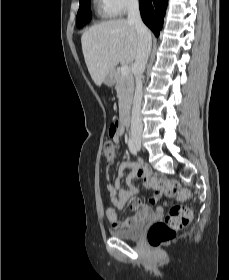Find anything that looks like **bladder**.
Wrapping results in <instances>:
<instances>
[{
  "label": "bladder",
  "mask_w": 229,
  "mask_h": 280,
  "mask_svg": "<svg viewBox=\"0 0 229 280\" xmlns=\"http://www.w3.org/2000/svg\"><path fill=\"white\" fill-rule=\"evenodd\" d=\"M145 228V220L137 221L133 226L124 229H116L111 234L121 240H132L139 238Z\"/></svg>",
  "instance_id": "31cf9c89"
}]
</instances>
